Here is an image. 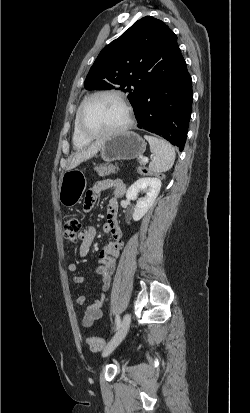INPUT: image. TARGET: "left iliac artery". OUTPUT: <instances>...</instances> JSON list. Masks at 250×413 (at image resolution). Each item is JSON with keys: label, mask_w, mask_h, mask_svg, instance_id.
Segmentation results:
<instances>
[{"label": "left iliac artery", "mask_w": 250, "mask_h": 413, "mask_svg": "<svg viewBox=\"0 0 250 413\" xmlns=\"http://www.w3.org/2000/svg\"><path fill=\"white\" fill-rule=\"evenodd\" d=\"M116 330L120 327V317L117 315L115 318Z\"/></svg>", "instance_id": "left-iliac-artery-1"}]
</instances>
